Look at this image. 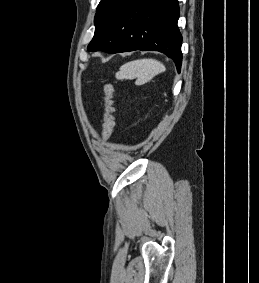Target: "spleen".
Here are the masks:
<instances>
[{
    "mask_svg": "<svg viewBox=\"0 0 259 283\" xmlns=\"http://www.w3.org/2000/svg\"><path fill=\"white\" fill-rule=\"evenodd\" d=\"M164 71L165 66L155 59H138L124 64L116 77L119 79L137 78V83L143 84Z\"/></svg>",
    "mask_w": 259,
    "mask_h": 283,
    "instance_id": "obj_1",
    "label": "spleen"
}]
</instances>
